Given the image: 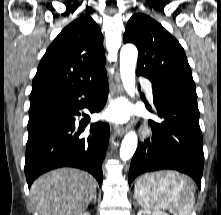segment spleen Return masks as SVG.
Returning a JSON list of instances; mask_svg holds the SVG:
<instances>
[{
  "mask_svg": "<svg viewBox=\"0 0 221 215\" xmlns=\"http://www.w3.org/2000/svg\"><path fill=\"white\" fill-rule=\"evenodd\" d=\"M193 189L189 178L167 171L157 181L145 175L140 177L135 183L134 195L145 210H169L174 215H191L195 203Z\"/></svg>",
  "mask_w": 221,
  "mask_h": 215,
  "instance_id": "3e777b00",
  "label": "spleen"
}]
</instances>
